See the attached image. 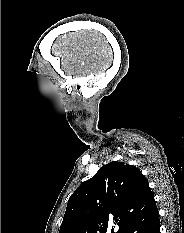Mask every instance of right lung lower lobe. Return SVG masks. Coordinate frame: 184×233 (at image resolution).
<instances>
[{
    "mask_svg": "<svg viewBox=\"0 0 184 233\" xmlns=\"http://www.w3.org/2000/svg\"><path fill=\"white\" fill-rule=\"evenodd\" d=\"M123 233H160V219L156 204Z\"/></svg>",
    "mask_w": 184,
    "mask_h": 233,
    "instance_id": "obj_1",
    "label": "right lung lower lobe"
}]
</instances>
